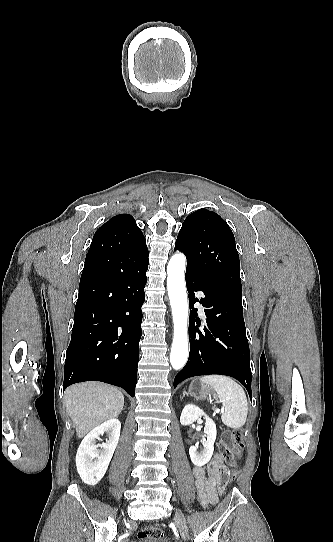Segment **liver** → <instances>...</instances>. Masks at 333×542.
I'll return each instance as SVG.
<instances>
[{
  "mask_svg": "<svg viewBox=\"0 0 333 542\" xmlns=\"http://www.w3.org/2000/svg\"><path fill=\"white\" fill-rule=\"evenodd\" d=\"M64 402L76 426L78 438H84L102 422L118 418L123 410L124 396L120 390L108 384L85 382L67 388Z\"/></svg>",
  "mask_w": 333,
  "mask_h": 542,
  "instance_id": "obj_1",
  "label": "liver"
}]
</instances>
